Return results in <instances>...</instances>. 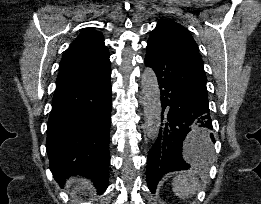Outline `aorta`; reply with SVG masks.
<instances>
[{
    "mask_svg": "<svg viewBox=\"0 0 261 204\" xmlns=\"http://www.w3.org/2000/svg\"><path fill=\"white\" fill-rule=\"evenodd\" d=\"M141 88L145 131L149 139L155 140L161 126V101L157 76L150 67L144 69L141 76Z\"/></svg>",
    "mask_w": 261,
    "mask_h": 204,
    "instance_id": "aorta-1",
    "label": "aorta"
}]
</instances>
